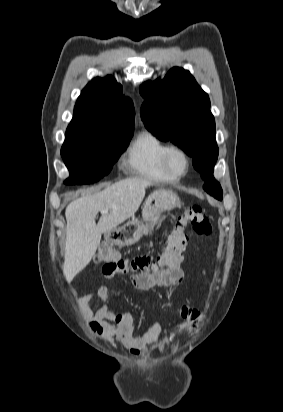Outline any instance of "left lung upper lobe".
Segmentation results:
<instances>
[{
  "mask_svg": "<svg viewBox=\"0 0 283 412\" xmlns=\"http://www.w3.org/2000/svg\"><path fill=\"white\" fill-rule=\"evenodd\" d=\"M140 94L146 99L141 118L147 130L159 140L175 143L192 157L206 191L222 200V188L213 177L218 147L208 95L188 71L177 67L162 81L143 83Z\"/></svg>",
  "mask_w": 283,
  "mask_h": 412,
  "instance_id": "left-lung-upper-lobe-1",
  "label": "left lung upper lobe"
}]
</instances>
